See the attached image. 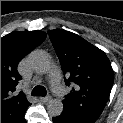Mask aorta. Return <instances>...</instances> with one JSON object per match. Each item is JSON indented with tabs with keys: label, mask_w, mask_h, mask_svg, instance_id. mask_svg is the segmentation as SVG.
Returning <instances> with one entry per match:
<instances>
[{
	"label": "aorta",
	"mask_w": 123,
	"mask_h": 123,
	"mask_svg": "<svg viewBox=\"0 0 123 123\" xmlns=\"http://www.w3.org/2000/svg\"><path fill=\"white\" fill-rule=\"evenodd\" d=\"M31 67L38 73H45L50 68V59L46 52L35 50L29 55ZM50 115L57 117L63 112V103L60 99H51L47 104Z\"/></svg>",
	"instance_id": "1"
}]
</instances>
